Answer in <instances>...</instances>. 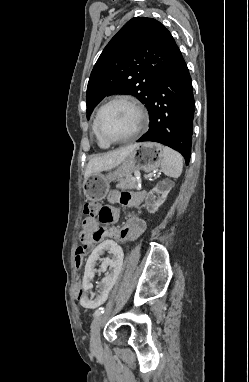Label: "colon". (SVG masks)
Returning a JSON list of instances; mask_svg holds the SVG:
<instances>
[{
	"label": "colon",
	"mask_w": 249,
	"mask_h": 382,
	"mask_svg": "<svg viewBox=\"0 0 249 382\" xmlns=\"http://www.w3.org/2000/svg\"><path fill=\"white\" fill-rule=\"evenodd\" d=\"M83 211L85 214L91 216V217H98L101 218L103 216H108L109 213L104 210V207H101L98 202L95 201H90L84 204ZM83 255L84 251L82 249H78L76 252V265H75V270L76 271H81L82 266H83ZM81 293V291H80Z\"/></svg>",
	"instance_id": "1"
}]
</instances>
